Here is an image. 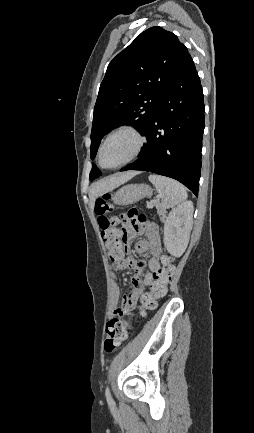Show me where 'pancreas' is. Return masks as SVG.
Returning a JSON list of instances; mask_svg holds the SVG:
<instances>
[{"label":"pancreas","mask_w":254,"mask_h":433,"mask_svg":"<svg viewBox=\"0 0 254 433\" xmlns=\"http://www.w3.org/2000/svg\"><path fill=\"white\" fill-rule=\"evenodd\" d=\"M156 209H157V213L160 216V219L163 220L165 217V210L162 208V206L160 204H156Z\"/></svg>","instance_id":"obj_1"}]
</instances>
